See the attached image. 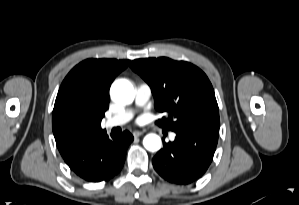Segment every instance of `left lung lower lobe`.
I'll list each match as a JSON object with an SVG mask.
<instances>
[{
	"mask_svg": "<svg viewBox=\"0 0 299 205\" xmlns=\"http://www.w3.org/2000/svg\"><path fill=\"white\" fill-rule=\"evenodd\" d=\"M173 142L153 158L157 173L175 184H190L204 175L213 160L219 126L191 127L174 130Z\"/></svg>",
	"mask_w": 299,
	"mask_h": 205,
	"instance_id": "1",
	"label": "left lung lower lobe"
}]
</instances>
